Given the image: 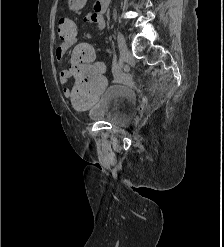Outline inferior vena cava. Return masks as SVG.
I'll return each mask as SVG.
<instances>
[{
  "instance_id": "1",
  "label": "inferior vena cava",
  "mask_w": 224,
  "mask_h": 247,
  "mask_svg": "<svg viewBox=\"0 0 224 247\" xmlns=\"http://www.w3.org/2000/svg\"><path fill=\"white\" fill-rule=\"evenodd\" d=\"M114 18H116V12H115V10H114Z\"/></svg>"
}]
</instances>
